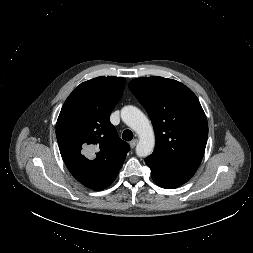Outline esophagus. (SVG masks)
Returning <instances> with one entry per match:
<instances>
[{"label": "esophagus", "instance_id": "esophagus-1", "mask_svg": "<svg viewBox=\"0 0 253 253\" xmlns=\"http://www.w3.org/2000/svg\"><path fill=\"white\" fill-rule=\"evenodd\" d=\"M137 143H138V140H137V139L132 140V141L130 142V147H131L132 149L135 148V146L137 145Z\"/></svg>", "mask_w": 253, "mask_h": 253}]
</instances>
